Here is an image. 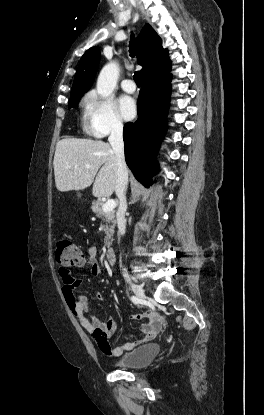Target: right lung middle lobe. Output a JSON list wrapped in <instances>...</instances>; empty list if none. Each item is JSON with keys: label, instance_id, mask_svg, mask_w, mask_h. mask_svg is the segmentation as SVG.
<instances>
[{"label": "right lung middle lobe", "instance_id": "1", "mask_svg": "<svg viewBox=\"0 0 264 415\" xmlns=\"http://www.w3.org/2000/svg\"><path fill=\"white\" fill-rule=\"evenodd\" d=\"M82 95L72 96L69 100V109L72 107H76Z\"/></svg>", "mask_w": 264, "mask_h": 415}]
</instances>
